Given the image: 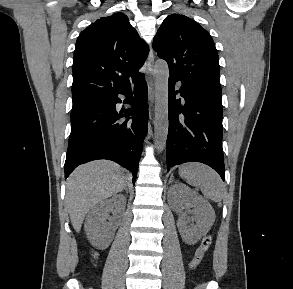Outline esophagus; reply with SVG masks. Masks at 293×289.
<instances>
[{
  "label": "esophagus",
  "mask_w": 293,
  "mask_h": 289,
  "mask_svg": "<svg viewBox=\"0 0 293 289\" xmlns=\"http://www.w3.org/2000/svg\"><path fill=\"white\" fill-rule=\"evenodd\" d=\"M147 66V82L149 86V95H148V107L149 110L153 107L155 102V94H154V87H153V73H154V53L153 50L150 49L149 55L146 62Z\"/></svg>",
  "instance_id": "1"
}]
</instances>
